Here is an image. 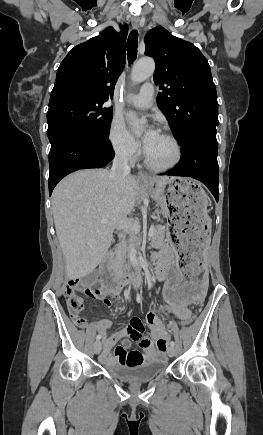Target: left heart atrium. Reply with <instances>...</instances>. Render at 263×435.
I'll return each mask as SVG.
<instances>
[{
    "mask_svg": "<svg viewBox=\"0 0 263 435\" xmlns=\"http://www.w3.org/2000/svg\"><path fill=\"white\" fill-rule=\"evenodd\" d=\"M159 135L158 131L154 127H149L147 132L145 133L143 137V144L145 147V150L147 151L150 146L153 144L157 136Z\"/></svg>",
    "mask_w": 263,
    "mask_h": 435,
    "instance_id": "obj_1",
    "label": "left heart atrium"
}]
</instances>
